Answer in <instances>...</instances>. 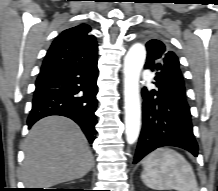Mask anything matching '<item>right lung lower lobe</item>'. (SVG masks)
Returning a JSON list of instances; mask_svg holds the SVG:
<instances>
[{
    "label": "right lung lower lobe",
    "mask_w": 218,
    "mask_h": 191,
    "mask_svg": "<svg viewBox=\"0 0 218 191\" xmlns=\"http://www.w3.org/2000/svg\"><path fill=\"white\" fill-rule=\"evenodd\" d=\"M97 43L58 36L43 61L36 80L30 128L50 115L66 116L83 130L90 143L96 135Z\"/></svg>",
    "instance_id": "98d812e1"
}]
</instances>
